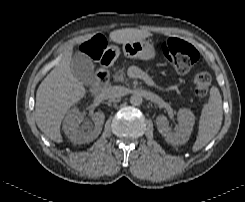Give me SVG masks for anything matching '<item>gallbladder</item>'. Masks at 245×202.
<instances>
[{"instance_id":"bac80fb5","label":"gallbladder","mask_w":245,"mask_h":202,"mask_svg":"<svg viewBox=\"0 0 245 202\" xmlns=\"http://www.w3.org/2000/svg\"><path fill=\"white\" fill-rule=\"evenodd\" d=\"M70 69L75 78L87 85L95 80L92 59L82 52H76L71 58Z\"/></svg>"}]
</instances>
